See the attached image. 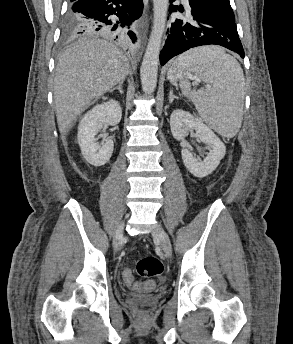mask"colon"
<instances>
[{"label":"colon","instance_id":"5ec220e1","mask_svg":"<svg viewBox=\"0 0 293 344\" xmlns=\"http://www.w3.org/2000/svg\"><path fill=\"white\" fill-rule=\"evenodd\" d=\"M137 273L143 278H154L161 276L164 272L163 262L154 256L145 257L138 261L136 266ZM122 276L125 282L132 284L134 282L132 271L129 268H125L122 272ZM154 286L153 282H147L144 285V289H150Z\"/></svg>","mask_w":293,"mask_h":344}]
</instances>
